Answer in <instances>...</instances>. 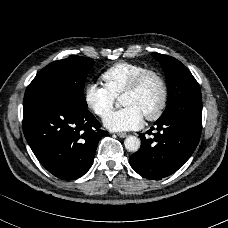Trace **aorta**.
<instances>
[{"label": "aorta", "mask_w": 228, "mask_h": 228, "mask_svg": "<svg viewBox=\"0 0 228 228\" xmlns=\"http://www.w3.org/2000/svg\"><path fill=\"white\" fill-rule=\"evenodd\" d=\"M124 145L129 152H136L140 148L141 141L136 136H128L124 141Z\"/></svg>", "instance_id": "obj_1"}]
</instances>
